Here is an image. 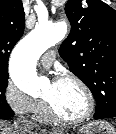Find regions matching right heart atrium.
<instances>
[{"mask_svg": "<svg viewBox=\"0 0 116 134\" xmlns=\"http://www.w3.org/2000/svg\"><path fill=\"white\" fill-rule=\"evenodd\" d=\"M3 97L10 110L21 116L35 114L43 103L25 94L11 79L6 82Z\"/></svg>", "mask_w": 116, "mask_h": 134, "instance_id": "right-heart-atrium-1", "label": "right heart atrium"}]
</instances>
